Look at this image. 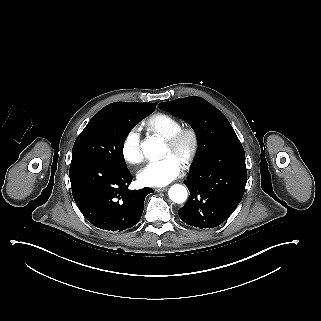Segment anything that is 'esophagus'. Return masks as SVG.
<instances>
[{
  "label": "esophagus",
  "mask_w": 321,
  "mask_h": 321,
  "mask_svg": "<svg viewBox=\"0 0 321 321\" xmlns=\"http://www.w3.org/2000/svg\"><path fill=\"white\" fill-rule=\"evenodd\" d=\"M167 190V187H163V188H156L155 192H164Z\"/></svg>",
  "instance_id": "34e87169"
}]
</instances>
